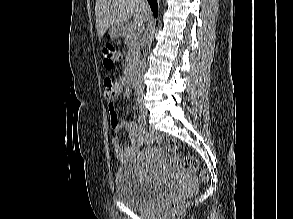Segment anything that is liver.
<instances>
[{
  "label": "liver",
  "instance_id": "1",
  "mask_svg": "<svg viewBox=\"0 0 293 219\" xmlns=\"http://www.w3.org/2000/svg\"><path fill=\"white\" fill-rule=\"evenodd\" d=\"M150 15L151 11L145 0H96L95 16L98 37L101 39L106 30L113 25L126 27L132 16H134L136 29L142 31Z\"/></svg>",
  "mask_w": 293,
  "mask_h": 219
}]
</instances>
